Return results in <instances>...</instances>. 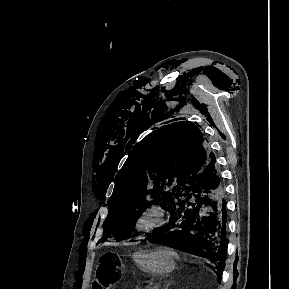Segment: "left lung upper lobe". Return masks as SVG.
<instances>
[{"label":"left lung upper lobe","instance_id":"left-lung-upper-lobe-1","mask_svg":"<svg viewBox=\"0 0 289 289\" xmlns=\"http://www.w3.org/2000/svg\"><path fill=\"white\" fill-rule=\"evenodd\" d=\"M213 156L200 129L190 122L171 123L145 137L116 175L101 242L128 239L134 220L152 203L162 201L170 209Z\"/></svg>","mask_w":289,"mask_h":289}]
</instances>
